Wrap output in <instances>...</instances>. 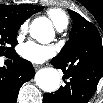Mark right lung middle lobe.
<instances>
[{"instance_id":"right-lung-middle-lobe-1","label":"right lung middle lobe","mask_w":103,"mask_h":103,"mask_svg":"<svg viewBox=\"0 0 103 103\" xmlns=\"http://www.w3.org/2000/svg\"><path fill=\"white\" fill-rule=\"evenodd\" d=\"M22 22L0 15V56L15 54L16 36Z\"/></svg>"}]
</instances>
